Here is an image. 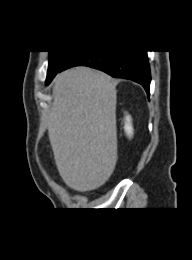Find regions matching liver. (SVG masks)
<instances>
[{
	"label": "liver",
	"mask_w": 192,
	"mask_h": 260,
	"mask_svg": "<svg viewBox=\"0 0 192 260\" xmlns=\"http://www.w3.org/2000/svg\"><path fill=\"white\" fill-rule=\"evenodd\" d=\"M116 82L88 67L58 74L48 135L66 185L85 192L103 185L117 161Z\"/></svg>",
	"instance_id": "obj_1"
}]
</instances>
